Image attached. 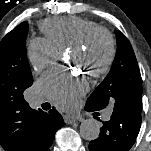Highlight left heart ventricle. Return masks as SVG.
<instances>
[{
  "mask_svg": "<svg viewBox=\"0 0 151 151\" xmlns=\"http://www.w3.org/2000/svg\"><path fill=\"white\" fill-rule=\"evenodd\" d=\"M108 52L107 44L104 39H99L93 48L86 53H73L72 62L85 70L99 67L106 59Z\"/></svg>",
  "mask_w": 151,
  "mask_h": 151,
  "instance_id": "obj_1",
  "label": "left heart ventricle"
}]
</instances>
